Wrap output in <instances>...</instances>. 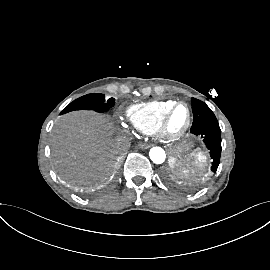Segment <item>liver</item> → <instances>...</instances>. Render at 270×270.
I'll use <instances>...</instances> for the list:
<instances>
[{
    "instance_id": "liver-1",
    "label": "liver",
    "mask_w": 270,
    "mask_h": 270,
    "mask_svg": "<svg viewBox=\"0 0 270 270\" xmlns=\"http://www.w3.org/2000/svg\"><path fill=\"white\" fill-rule=\"evenodd\" d=\"M112 135L113 124L105 115L92 111L62 115L52 132L54 161L70 173L103 180L114 164Z\"/></svg>"
}]
</instances>
